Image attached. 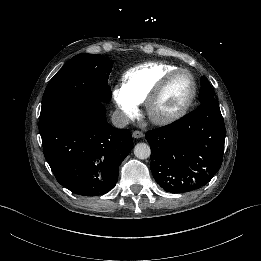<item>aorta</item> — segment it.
<instances>
[{"mask_svg": "<svg viewBox=\"0 0 261 261\" xmlns=\"http://www.w3.org/2000/svg\"><path fill=\"white\" fill-rule=\"evenodd\" d=\"M134 154L138 159L145 160L151 155V149L146 143H138L134 147Z\"/></svg>", "mask_w": 261, "mask_h": 261, "instance_id": "762f6f07", "label": "aorta"}]
</instances>
